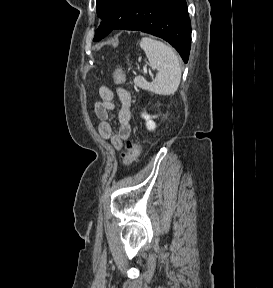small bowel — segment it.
Listing matches in <instances>:
<instances>
[{
    "instance_id": "small-bowel-1",
    "label": "small bowel",
    "mask_w": 273,
    "mask_h": 288,
    "mask_svg": "<svg viewBox=\"0 0 273 288\" xmlns=\"http://www.w3.org/2000/svg\"><path fill=\"white\" fill-rule=\"evenodd\" d=\"M100 100L94 104V112L100 120L98 125L99 135L109 140L112 145L120 150L124 142L129 138L131 133V94L126 89L118 86L114 93L108 86L99 88ZM118 98L120 110L118 113V132H113L112 126L109 123L110 113L115 108V99Z\"/></svg>"
}]
</instances>
